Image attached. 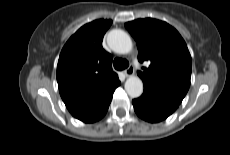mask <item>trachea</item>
I'll use <instances>...</instances> for the list:
<instances>
[{
    "label": "trachea",
    "mask_w": 230,
    "mask_h": 155,
    "mask_svg": "<svg viewBox=\"0 0 230 155\" xmlns=\"http://www.w3.org/2000/svg\"><path fill=\"white\" fill-rule=\"evenodd\" d=\"M113 65H114L116 70H123V69L128 68L129 62L126 59L115 58Z\"/></svg>",
    "instance_id": "1"
}]
</instances>
